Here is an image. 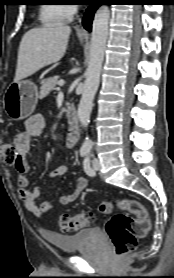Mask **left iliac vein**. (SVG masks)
Returning a JSON list of instances; mask_svg holds the SVG:
<instances>
[{
    "instance_id": "obj_1",
    "label": "left iliac vein",
    "mask_w": 174,
    "mask_h": 278,
    "mask_svg": "<svg viewBox=\"0 0 174 278\" xmlns=\"http://www.w3.org/2000/svg\"><path fill=\"white\" fill-rule=\"evenodd\" d=\"M92 165H93L94 170H99L100 169V161L97 158L93 159Z\"/></svg>"
}]
</instances>
